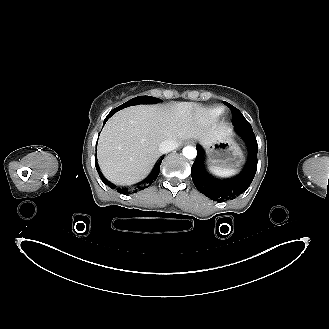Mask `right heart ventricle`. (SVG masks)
Wrapping results in <instances>:
<instances>
[{
    "label": "right heart ventricle",
    "instance_id": "obj_1",
    "mask_svg": "<svg viewBox=\"0 0 329 329\" xmlns=\"http://www.w3.org/2000/svg\"><path fill=\"white\" fill-rule=\"evenodd\" d=\"M213 113L216 114V115H219V114L222 113V110L221 109H214Z\"/></svg>",
    "mask_w": 329,
    "mask_h": 329
}]
</instances>
